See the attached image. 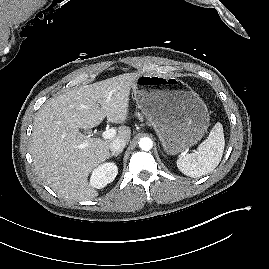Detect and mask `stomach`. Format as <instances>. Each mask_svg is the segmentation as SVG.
<instances>
[{
	"instance_id": "0dacf381",
	"label": "stomach",
	"mask_w": 269,
	"mask_h": 269,
	"mask_svg": "<svg viewBox=\"0 0 269 269\" xmlns=\"http://www.w3.org/2000/svg\"><path fill=\"white\" fill-rule=\"evenodd\" d=\"M132 88L138 108L155 129L167 154L185 151L206 132L210 120L207 106L181 80L141 74Z\"/></svg>"
}]
</instances>
